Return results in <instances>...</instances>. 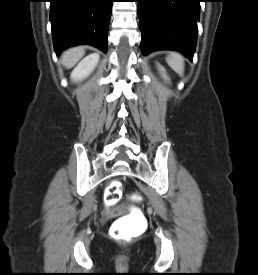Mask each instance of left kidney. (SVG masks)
Wrapping results in <instances>:
<instances>
[{
    "label": "left kidney",
    "instance_id": "left-kidney-1",
    "mask_svg": "<svg viewBox=\"0 0 258 275\" xmlns=\"http://www.w3.org/2000/svg\"><path fill=\"white\" fill-rule=\"evenodd\" d=\"M158 66H159V70H160L161 73H162V76H163L165 79H168L167 76H166V74H165V69H164L162 66H160V65H158Z\"/></svg>",
    "mask_w": 258,
    "mask_h": 275
}]
</instances>
